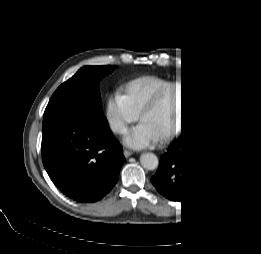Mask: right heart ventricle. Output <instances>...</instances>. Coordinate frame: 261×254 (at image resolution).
<instances>
[{
    "label": "right heart ventricle",
    "mask_w": 261,
    "mask_h": 254,
    "mask_svg": "<svg viewBox=\"0 0 261 254\" xmlns=\"http://www.w3.org/2000/svg\"><path fill=\"white\" fill-rule=\"evenodd\" d=\"M169 84L162 80L144 78L133 82L128 88L126 96L132 108L140 113L142 109Z\"/></svg>",
    "instance_id": "obj_1"
}]
</instances>
